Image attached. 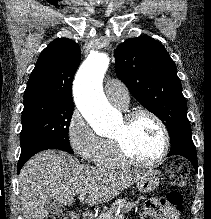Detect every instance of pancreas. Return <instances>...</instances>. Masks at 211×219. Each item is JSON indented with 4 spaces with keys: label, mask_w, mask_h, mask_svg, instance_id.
I'll return each mask as SVG.
<instances>
[{
    "label": "pancreas",
    "mask_w": 211,
    "mask_h": 219,
    "mask_svg": "<svg viewBox=\"0 0 211 219\" xmlns=\"http://www.w3.org/2000/svg\"><path fill=\"white\" fill-rule=\"evenodd\" d=\"M135 205V202H130L127 199L120 198L113 203L108 212L99 215L97 219H114L113 215L119 208L121 209V213H128Z\"/></svg>",
    "instance_id": "1"
}]
</instances>
